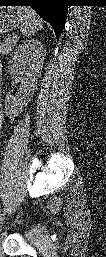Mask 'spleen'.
<instances>
[{"label": "spleen", "mask_w": 106, "mask_h": 257, "mask_svg": "<svg viewBox=\"0 0 106 257\" xmlns=\"http://www.w3.org/2000/svg\"><path fill=\"white\" fill-rule=\"evenodd\" d=\"M17 13L21 20V33L23 36H33L42 28V20L30 7H18Z\"/></svg>", "instance_id": "spleen-1"}]
</instances>
